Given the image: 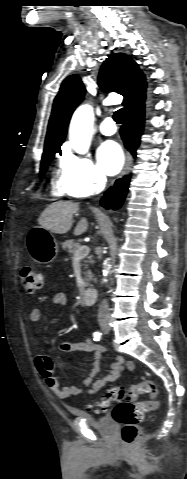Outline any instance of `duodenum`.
I'll list each match as a JSON object with an SVG mask.
<instances>
[{
    "label": "duodenum",
    "instance_id": "1",
    "mask_svg": "<svg viewBox=\"0 0 187 479\" xmlns=\"http://www.w3.org/2000/svg\"><path fill=\"white\" fill-rule=\"evenodd\" d=\"M97 291L94 288H87L83 291L82 298L85 304L91 305L95 302Z\"/></svg>",
    "mask_w": 187,
    "mask_h": 479
}]
</instances>
